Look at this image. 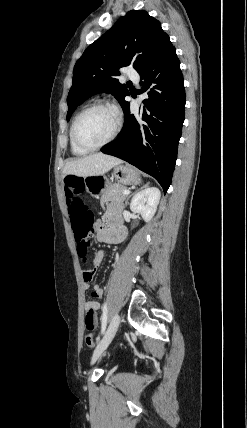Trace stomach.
<instances>
[{"label":"stomach","instance_id":"1","mask_svg":"<svg viewBox=\"0 0 247 428\" xmlns=\"http://www.w3.org/2000/svg\"><path fill=\"white\" fill-rule=\"evenodd\" d=\"M115 180L123 185H132L140 182L139 172L131 165H116L112 173ZM87 192L92 197H99L109 186V181L104 175L83 177Z\"/></svg>","mask_w":247,"mask_h":428}]
</instances>
